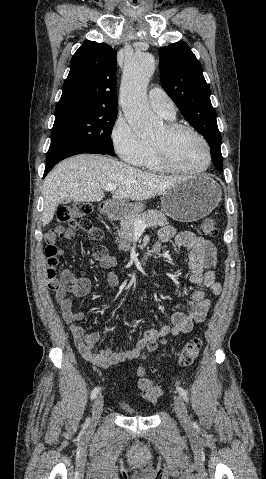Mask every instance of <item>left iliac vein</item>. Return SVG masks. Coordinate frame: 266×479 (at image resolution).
I'll return each instance as SVG.
<instances>
[{
  "label": "left iliac vein",
  "mask_w": 266,
  "mask_h": 479,
  "mask_svg": "<svg viewBox=\"0 0 266 479\" xmlns=\"http://www.w3.org/2000/svg\"><path fill=\"white\" fill-rule=\"evenodd\" d=\"M174 409L180 423L184 427H189L191 425V420L188 415L185 403L182 397L179 395L174 396Z\"/></svg>",
  "instance_id": "obj_1"
}]
</instances>
